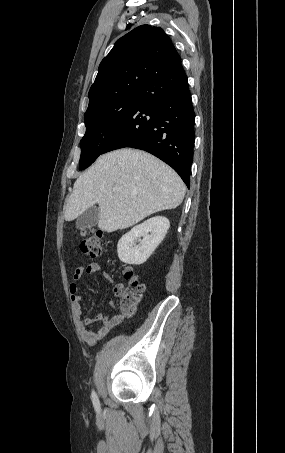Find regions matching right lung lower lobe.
Here are the masks:
<instances>
[{
	"label": "right lung lower lobe",
	"instance_id": "1",
	"mask_svg": "<svg viewBox=\"0 0 285 453\" xmlns=\"http://www.w3.org/2000/svg\"><path fill=\"white\" fill-rule=\"evenodd\" d=\"M103 153L131 147L171 166L190 187L195 114L181 64L149 81Z\"/></svg>",
	"mask_w": 285,
	"mask_h": 453
}]
</instances>
